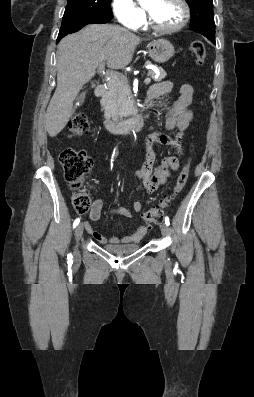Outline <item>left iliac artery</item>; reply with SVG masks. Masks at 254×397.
Masks as SVG:
<instances>
[{
  "mask_svg": "<svg viewBox=\"0 0 254 397\" xmlns=\"http://www.w3.org/2000/svg\"><path fill=\"white\" fill-rule=\"evenodd\" d=\"M164 220H165V224L168 226L170 224L169 218L166 216Z\"/></svg>",
  "mask_w": 254,
  "mask_h": 397,
  "instance_id": "left-iliac-artery-1",
  "label": "left iliac artery"
}]
</instances>
